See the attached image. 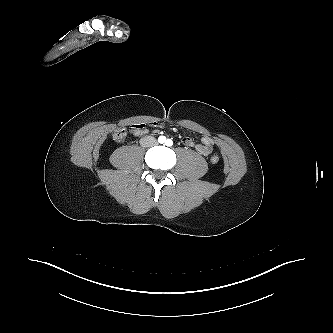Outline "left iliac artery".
<instances>
[{
  "instance_id": "obj_1",
  "label": "left iliac artery",
  "mask_w": 333,
  "mask_h": 333,
  "mask_svg": "<svg viewBox=\"0 0 333 333\" xmlns=\"http://www.w3.org/2000/svg\"><path fill=\"white\" fill-rule=\"evenodd\" d=\"M166 145L169 146V147L172 146L173 145V141L171 139H167L166 140Z\"/></svg>"
}]
</instances>
